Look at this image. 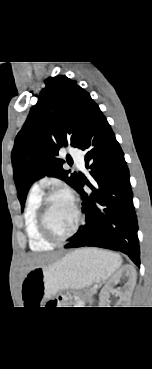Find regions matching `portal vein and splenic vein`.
<instances>
[{
    "label": "portal vein and splenic vein",
    "mask_w": 152,
    "mask_h": 369,
    "mask_svg": "<svg viewBox=\"0 0 152 369\" xmlns=\"http://www.w3.org/2000/svg\"><path fill=\"white\" fill-rule=\"evenodd\" d=\"M94 290L96 291L97 290V286L94 287Z\"/></svg>",
    "instance_id": "1"
}]
</instances>
